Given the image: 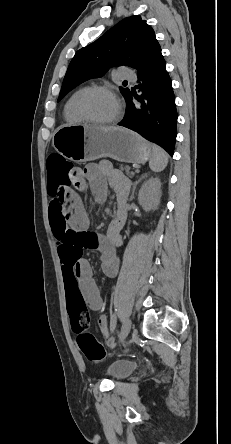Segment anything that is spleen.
Listing matches in <instances>:
<instances>
[{
	"instance_id": "obj_1",
	"label": "spleen",
	"mask_w": 231,
	"mask_h": 444,
	"mask_svg": "<svg viewBox=\"0 0 231 444\" xmlns=\"http://www.w3.org/2000/svg\"><path fill=\"white\" fill-rule=\"evenodd\" d=\"M168 164V155L157 145L152 146V156L149 161V167L154 172H161Z\"/></svg>"
}]
</instances>
